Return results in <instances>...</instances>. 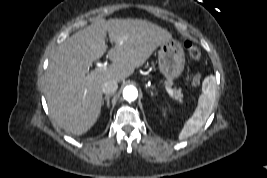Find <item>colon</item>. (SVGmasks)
Here are the masks:
<instances>
[{"instance_id":"obj_1","label":"colon","mask_w":267,"mask_h":178,"mask_svg":"<svg viewBox=\"0 0 267 178\" xmlns=\"http://www.w3.org/2000/svg\"><path fill=\"white\" fill-rule=\"evenodd\" d=\"M184 47L192 59L199 60L201 58V51L193 42L186 40L184 42ZM200 81H201L200 75H195L192 79V84L194 86H197L199 85Z\"/></svg>"}]
</instances>
